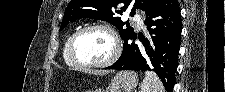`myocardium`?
I'll return each instance as SVG.
<instances>
[{"label": "myocardium", "mask_w": 225, "mask_h": 92, "mask_svg": "<svg viewBox=\"0 0 225 92\" xmlns=\"http://www.w3.org/2000/svg\"><path fill=\"white\" fill-rule=\"evenodd\" d=\"M90 30H102V31L106 32L112 40L113 53L107 60H105L103 62H100V63L84 62L79 59V57L77 56V54L75 52V46H76V43L79 40V38L85 32L90 31ZM120 53H121V46H120V41H119V38H118L116 32L111 27H109L108 25H105V24L94 23V24H90V25L82 27L81 29L77 30L73 34V36L71 37L69 44H68V54L70 56L72 63L75 66L85 68V69H102V68L109 67L118 60Z\"/></svg>", "instance_id": "1"}]
</instances>
